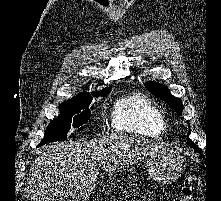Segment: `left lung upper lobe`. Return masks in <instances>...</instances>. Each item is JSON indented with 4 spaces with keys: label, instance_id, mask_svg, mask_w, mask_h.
I'll use <instances>...</instances> for the list:
<instances>
[{
    "label": "left lung upper lobe",
    "instance_id": "obj_1",
    "mask_svg": "<svg viewBox=\"0 0 221 201\" xmlns=\"http://www.w3.org/2000/svg\"><path fill=\"white\" fill-rule=\"evenodd\" d=\"M145 86L152 94L165 101L177 113L181 114L183 109L181 100L173 96L166 86L159 84L157 82H146ZM187 142L198 153H202V150L196 144H194L189 138H187Z\"/></svg>",
    "mask_w": 221,
    "mask_h": 201
}]
</instances>
